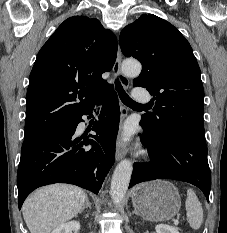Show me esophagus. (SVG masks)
Masks as SVG:
<instances>
[{
  "label": "esophagus",
  "mask_w": 227,
  "mask_h": 233,
  "mask_svg": "<svg viewBox=\"0 0 227 233\" xmlns=\"http://www.w3.org/2000/svg\"><path fill=\"white\" fill-rule=\"evenodd\" d=\"M121 61H122V53L120 47H118L117 58L113 66V73L116 77H118L124 88L127 89L129 87V79L126 76H124L121 71ZM127 113H128L127 109L124 106H122L121 107L122 120L127 116ZM127 151L128 149L126 144L121 140V136H119L116 143V153H115L116 160L117 161L121 160L127 154Z\"/></svg>",
  "instance_id": "obj_1"
}]
</instances>
